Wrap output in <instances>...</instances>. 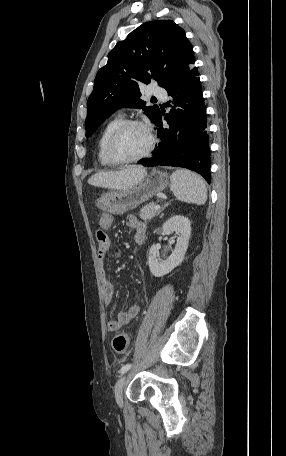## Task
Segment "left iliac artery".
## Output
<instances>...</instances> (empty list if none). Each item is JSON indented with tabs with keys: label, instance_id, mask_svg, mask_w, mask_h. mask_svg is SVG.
I'll return each mask as SVG.
<instances>
[{
	"label": "left iliac artery",
	"instance_id": "left-iliac-artery-1",
	"mask_svg": "<svg viewBox=\"0 0 286 456\" xmlns=\"http://www.w3.org/2000/svg\"><path fill=\"white\" fill-rule=\"evenodd\" d=\"M131 366H132V364H130V363L123 365L122 368L120 369V373L121 374L126 373L131 368Z\"/></svg>",
	"mask_w": 286,
	"mask_h": 456
}]
</instances>
